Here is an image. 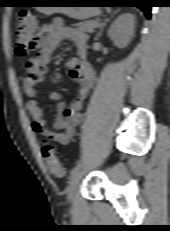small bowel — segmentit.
Returning a JSON list of instances; mask_svg holds the SVG:
<instances>
[{"label": "small bowel", "mask_w": 170, "mask_h": 231, "mask_svg": "<svg viewBox=\"0 0 170 231\" xmlns=\"http://www.w3.org/2000/svg\"><path fill=\"white\" fill-rule=\"evenodd\" d=\"M66 40L74 43L78 53V58L70 59L67 62L70 77L79 84L78 98L70 104H60L59 112L51 129L45 124L38 101L39 92L36 88L45 81L47 65L54 51L62 41ZM38 44L37 54L26 63V76L23 80L24 92L28 98L26 107L32 118L31 128L37 134L66 145L72 139L76 127L82 120L83 102L95 82L94 72L86 60L87 37L78 30L64 26L60 20H55L44 29ZM50 99L59 100L60 95L52 92Z\"/></svg>", "instance_id": "small-bowel-1"}]
</instances>
